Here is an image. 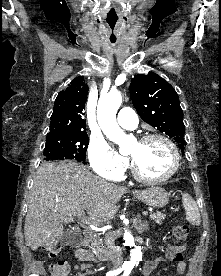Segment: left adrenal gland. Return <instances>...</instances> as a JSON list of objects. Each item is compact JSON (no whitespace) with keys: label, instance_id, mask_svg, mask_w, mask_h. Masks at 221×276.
<instances>
[{"label":"left adrenal gland","instance_id":"1","mask_svg":"<svg viewBox=\"0 0 221 276\" xmlns=\"http://www.w3.org/2000/svg\"><path fill=\"white\" fill-rule=\"evenodd\" d=\"M135 225L139 233H143L144 231L148 230L147 221H142L140 216L136 218Z\"/></svg>","mask_w":221,"mask_h":276}]
</instances>
